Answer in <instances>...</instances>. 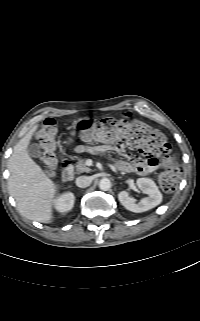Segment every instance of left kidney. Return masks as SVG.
Instances as JSON below:
<instances>
[{"instance_id": "5707ae66", "label": "left kidney", "mask_w": 200, "mask_h": 321, "mask_svg": "<svg viewBox=\"0 0 200 321\" xmlns=\"http://www.w3.org/2000/svg\"><path fill=\"white\" fill-rule=\"evenodd\" d=\"M136 184L138 188L148 196L137 203L135 199L129 196L127 191H121L118 194V199L127 210L141 213L156 207L162 202V194L153 180L149 178H139Z\"/></svg>"}]
</instances>
